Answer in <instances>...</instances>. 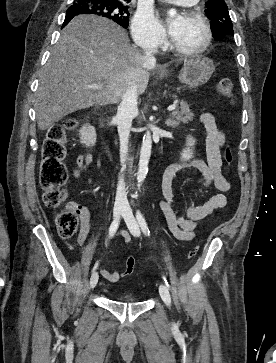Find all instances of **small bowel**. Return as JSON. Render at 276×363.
Segmentation results:
<instances>
[{"label":"small bowel","mask_w":276,"mask_h":363,"mask_svg":"<svg viewBox=\"0 0 276 363\" xmlns=\"http://www.w3.org/2000/svg\"><path fill=\"white\" fill-rule=\"evenodd\" d=\"M199 122L204 126L207 132L206 137V155L207 160L192 159L186 163H176L169 165L162 177V191L164 198L160 200V208L166 218L168 228L172 235L179 241L188 242L195 238L196 228L201 221L212 215L217 209L224 207L227 198L224 193L231 188L230 182L223 176L222 167V148L225 144V134L217 126L214 116L211 113L204 112L199 117ZM94 157L91 153L80 154L76 158V166L73 170V176L79 177L81 172L86 170L92 163ZM99 163V159H97ZM193 168L200 172L202 181L200 186L194 191L199 193L209 185L219 190V193L213 195L208 201L200 205H188L185 208L184 216L178 214L172 189L173 179L177 172L182 169ZM70 208L74 209L80 217L81 229L77 237V242L82 246L91 230V215L88 208L78 203H71ZM125 243L131 241L126 232L121 233ZM99 273L109 282H117L121 274L110 272L104 268L99 269Z\"/></svg>","instance_id":"c3829d8e"}]
</instances>
